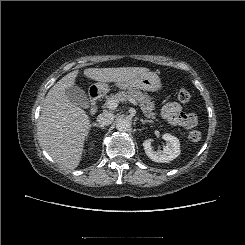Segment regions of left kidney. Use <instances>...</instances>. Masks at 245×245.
I'll list each match as a JSON object with an SVG mask.
<instances>
[{
    "instance_id": "obj_1",
    "label": "left kidney",
    "mask_w": 245,
    "mask_h": 245,
    "mask_svg": "<svg viewBox=\"0 0 245 245\" xmlns=\"http://www.w3.org/2000/svg\"><path fill=\"white\" fill-rule=\"evenodd\" d=\"M162 138L167 142L162 152H156L152 149V139L143 142L146 155L154 162L169 163L180 155L179 139L169 133L163 134Z\"/></svg>"
}]
</instances>
